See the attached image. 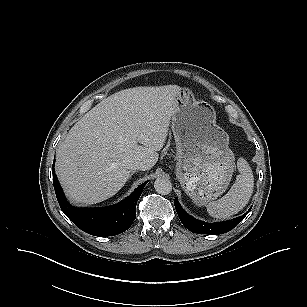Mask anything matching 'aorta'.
Returning <instances> with one entry per match:
<instances>
[{
    "mask_svg": "<svg viewBox=\"0 0 307 307\" xmlns=\"http://www.w3.org/2000/svg\"><path fill=\"white\" fill-rule=\"evenodd\" d=\"M155 191L161 195H167L172 191V183L166 177H158L154 182Z\"/></svg>",
    "mask_w": 307,
    "mask_h": 307,
    "instance_id": "obj_1",
    "label": "aorta"
}]
</instances>
